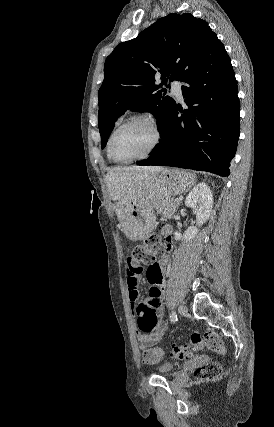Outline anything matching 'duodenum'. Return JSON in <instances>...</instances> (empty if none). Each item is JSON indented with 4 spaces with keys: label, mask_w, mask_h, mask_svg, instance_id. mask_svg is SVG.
Instances as JSON below:
<instances>
[{
    "label": "duodenum",
    "mask_w": 274,
    "mask_h": 427,
    "mask_svg": "<svg viewBox=\"0 0 274 427\" xmlns=\"http://www.w3.org/2000/svg\"><path fill=\"white\" fill-rule=\"evenodd\" d=\"M165 245H166V247H170L171 246V238L169 236L166 237Z\"/></svg>",
    "instance_id": "obj_1"
}]
</instances>
